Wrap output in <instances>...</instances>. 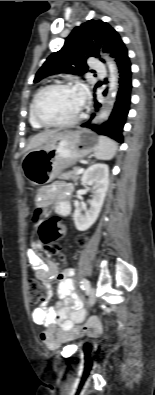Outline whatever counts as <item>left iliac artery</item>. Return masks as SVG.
<instances>
[{
    "mask_svg": "<svg viewBox=\"0 0 155 395\" xmlns=\"http://www.w3.org/2000/svg\"><path fill=\"white\" fill-rule=\"evenodd\" d=\"M80 283H81L80 287L82 290L87 291L90 289V283L87 279H82Z\"/></svg>",
    "mask_w": 155,
    "mask_h": 395,
    "instance_id": "left-iliac-artery-1",
    "label": "left iliac artery"
}]
</instances>
